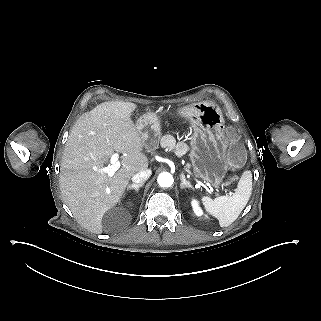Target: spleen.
Wrapping results in <instances>:
<instances>
[{"label":"spleen","mask_w":321,"mask_h":321,"mask_svg":"<svg viewBox=\"0 0 321 321\" xmlns=\"http://www.w3.org/2000/svg\"><path fill=\"white\" fill-rule=\"evenodd\" d=\"M252 192V173L244 171L232 196H219L214 200L203 197L205 210L219 220L221 227L230 226L247 205Z\"/></svg>","instance_id":"obj_1"}]
</instances>
